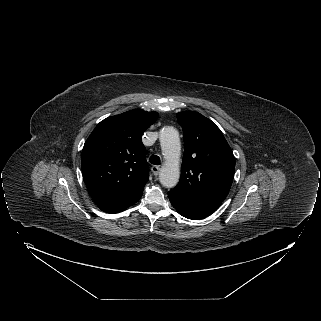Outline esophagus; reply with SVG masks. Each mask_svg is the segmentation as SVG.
I'll list each match as a JSON object with an SVG mask.
<instances>
[{
    "mask_svg": "<svg viewBox=\"0 0 321 321\" xmlns=\"http://www.w3.org/2000/svg\"><path fill=\"white\" fill-rule=\"evenodd\" d=\"M151 170L155 176H158L159 172H160V167L159 166H152Z\"/></svg>",
    "mask_w": 321,
    "mask_h": 321,
    "instance_id": "1",
    "label": "esophagus"
}]
</instances>
